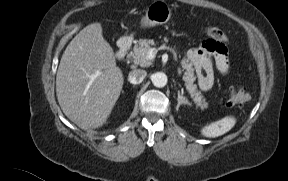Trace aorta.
Returning a JSON list of instances; mask_svg holds the SVG:
<instances>
[{"label":"aorta","mask_w":288,"mask_h":181,"mask_svg":"<svg viewBox=\"0 0 288 181\" xmlns=\"http://www.w3.org/2000/svg\"><path fill=\"white\" fill-rule=\"evenodd\" d=\"M152 83L155 87L162 88L167 84V75L163 72H157L151 76Z\"/></svg>","instance_id":"obj_1"}]
</instances>
